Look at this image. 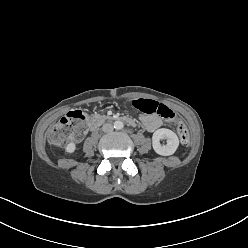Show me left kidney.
Here are the masks:
<instances>
[{"label": "left kidney", "instance_id": "left-kidney-1", "mask_svg": "<svg viewBox=\"0 0 248 248\" xmlns=\"http://www.w3.org/2000/svg\"><path fill=\"white\" fill-rule=\"evenodd\" d=\"M161 139H166V145L160 144ZM152 146L157 154L162 156H170L177 150L179 146V139L173 131L166 128H161L153 133Z\"/></svg>", "mask_w": 248, "mask_h": 248}]
</instances>
